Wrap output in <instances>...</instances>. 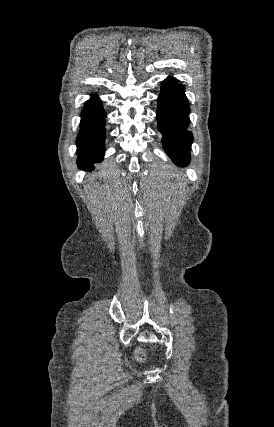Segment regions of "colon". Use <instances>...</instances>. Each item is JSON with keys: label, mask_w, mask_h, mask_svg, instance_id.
<instances>
[{"label": "colon", "mask_w": 274, "mask_h": 427, "mask_svg": "<svg viewBox=\"0 0 274 427\" xmlns=\"http://www.w3.org/2000/svg\"><path fill=\"white\" fill-rule=\"evenodd\" d=\"M133 357L137 361H142L144 359V357H145V352L143 350H141V349H138V350H136L134 352Z\"/></svg>", "instance_id": "colon-1"}]
</instances>
